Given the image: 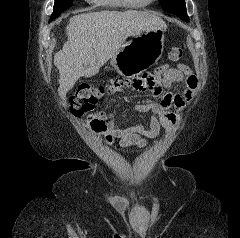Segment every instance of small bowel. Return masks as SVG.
I'll list each match as a JSON object with an SVG mask.
<instances>
[{"label": "small bowel", "instance_id": "small-bowel-1", "mask_svg": "<svg viewBox=\"0 0 240 238\" xmlns=\"http://www.w3.org/2000/svg\"><path fill=\"white\" fill-rule=\"evenodd\" d=\"M174 82L184 83L181 92L167 93L162 96L158 103H140L135 106L140 113H152L145 123L118 127L114 112H106L105 110L95 112L92 117L105 121L107 133L116 138L121 146L145 147L147 145L146 139L156 138L162 128L170 133L177 125L178 115L170 109L174 108L176 112H181L186 102L191 99L197 86V78L192 70L184 64H179L175 68L162 65L153 74L132 82L115 79L107 88V94H115L125 88H130L138 92L148 90L154 96H160L163 88L169 87Z\"/></svg>", "mask_w": 240, "mask_h": 238}]
</instances>
